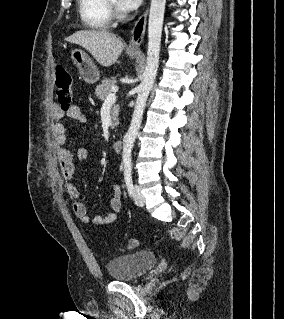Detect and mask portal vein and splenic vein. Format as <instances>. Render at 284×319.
<instances>
[{"mask_svg":"<svg viewBox=\"0 0 284 319\" xmlns=\"http://www.w3.org/2000/svg\"><path fill=\"white\" fill-rule=\"evenodd\" d=\"M118 92V87L113 86L111 89V93L106 97L105 103L114 102L116 100V93Z\"/></svg>","mask_w":284,"mask_h":319,"instance_id":"obj_1","label":"portal vein and splenic vein"}]
</instances>
